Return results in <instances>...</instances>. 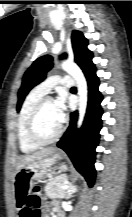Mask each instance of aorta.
Masks as SVG:
<instances>
[{"instance_id":"1","label":"aorta","mask_w":132,"mask_h":217,"mask_svg":"<svg viewBox=\"0 0 132 217\" xmlns=\"http://www.w3.org/2000/svg\"><path fill=\"white\" fill-rule=\"evenodd\" d=\"M63 70L70 74L76 81L79 95V117H78V128L81 127L87 109L88 102V88L87 81L81 69L73 62H63L61 64Z\"/></svg>"}]
</instances>
